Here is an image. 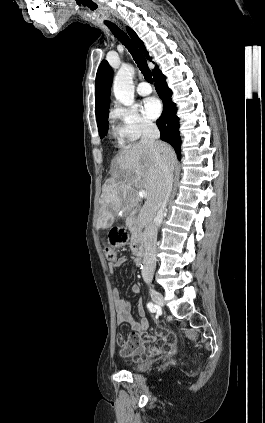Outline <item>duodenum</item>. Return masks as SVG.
<instances>
[{"label":"duodenum","mask_w":265,"mask_h":423,"mask_svg":"<svg viewBox=\"0 0 265 423\" xmlns=\"http://www.w3.org/2000/svg\"><path fill=\"white\" fill-rule=\"evenodd\" d=\"M129 227L131 232V249L136 256L137 261L141 263L144 256V248L137 222L132 220L129 224Z\"/></svg>","instance_id":"obj_1"}]
</instances>
